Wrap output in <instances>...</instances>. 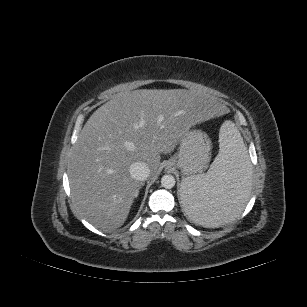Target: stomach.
Masks as SVG:
<instances>
[{
	"label": "stomach",
	"instance_id": "1",
	"mask_svg": "<svg viewBox=\"0 0 307 307\" xmlns=\"http://www.w3.org/2000/svg\"><path fill=\"white\" fill-rule=\"evenodd\" d=\"M211 148V141L205 132L200 129L188 130L171 162L181 169L183 175L201 173L209 164Z\"/></svg>",
	"mask_w": 307,
	"mask_h": 307
}]
</instances>
